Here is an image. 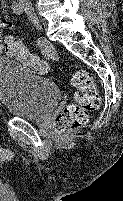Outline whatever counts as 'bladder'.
Instances as JSON below:
<instances>
[{
	"label": "bladder",
	"instance_id": "31cf9c89",
	"mask_svg": "<svg viewBox=\"0 0 123 201\" xmlns=\"http://www.w3.org/2000/svg\"><path fill=\"white\" fill-rule=\"evenodd\" d=\"M59 99L52 80L29 73L20 61L0 56V103L15 117L43 120Z\"/></svg>",
	"mask_w": 123,
	"mask_h": 201
}]
</instances>
